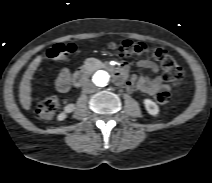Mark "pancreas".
I'll use <instances>...</instances> for the list:
<instances>
[{"instance_id":"1","label":"pancreas","mask_w":212,"mask_h":183,"mask_svg":"<svg viewBox=\"0 0 212 183\" xmlns=\"http://www.w3.org/2000/svg\"><path fill=\"white\" fill-rule=\"evenodd\" d=\"M96 61H97L96 59L90 58V59H87V60L85 61V64L95 63Z\"/></svg>"}]
</instances>
